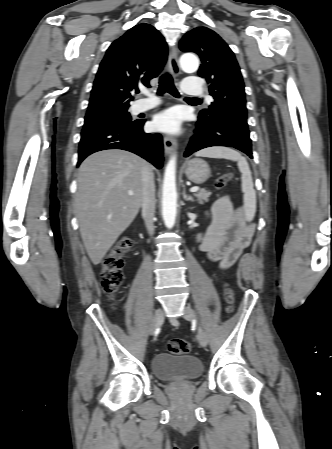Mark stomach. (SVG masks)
<instances>
[{
    "instance_id": "1",
    "label": "stomach",
    "mask_w": 332,
    "mask_h": 449,
    "mask_svg": "<svg viewBox=\"0 0 332 449\" xmlns=\"http://www.w3.org/2000/svg\"><path fill=\"white\" fill-rule=\"evenodd\" d=\"M184 171L186 177L195 184H202L211 176L209 165L199 158L187 161Z\"/></svg>"
}]
</instances>
